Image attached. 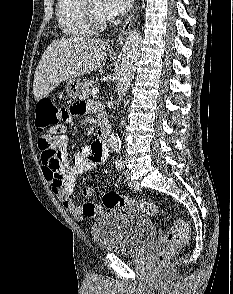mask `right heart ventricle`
<instances>
[{"instance_id":"right-heart-ventricle-1","label":"right heart ventricle","mask_w":233,"mask_h":294,"mask_svg":"<svg viewBox=\"0 0 233 294\" xmlns=\"http://www.w3.org/2000/svg\"><path fill=\"white\" fill-rule=\"evenodd\" d=\"M58 25L70 38H85L94 33L86 15V0H59Z\"/></svg>"}]
</instances>
